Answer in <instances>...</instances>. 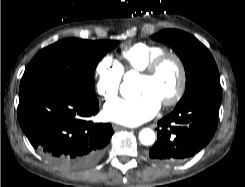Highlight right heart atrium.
I'll return each mask as SVG.
<instances>
[{
    "label": "right heart atrium",
    "mask_w": 245,
    "mask_h": 187,
    "mask_svg": "<svg viewBox=\"0 0 245 187\" xmlns=\"http://www.w3.org/2000/svg\"><path fill=\"white\" fill-rule=\"evenodd\" d=\"M96 92L106 102L115 100L120 92L123 70L112 56H103L96 65Z\"/></svg>",
    "instance_id": "obj_1"
}]
</instances>
